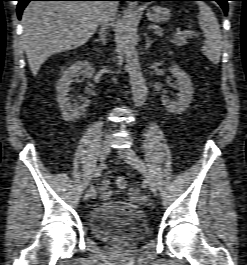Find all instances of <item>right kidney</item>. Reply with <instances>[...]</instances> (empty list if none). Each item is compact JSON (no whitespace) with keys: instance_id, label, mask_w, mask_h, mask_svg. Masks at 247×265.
<instances>
[{"instance_id":"1","label":"right kidney","mask_w":247,"mask_h":265,"mask_svg":"<svg viewBox=\"0 0 247 265\" xmlns=\"http://www.w3.org/2000/svg\"><path fill=\"white\" fill-rule=\"evenodd\" d=\"M80 75L84 78H91L94 75V68L91 63L88 61H77L64 71L57 83V101L65 121L70 122L80 118L90 104L89 100H85L83 104L74 106L67 97L72 79Z\"/></svg>"}]
</instances>
